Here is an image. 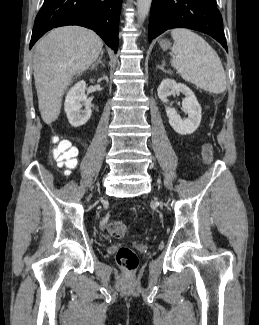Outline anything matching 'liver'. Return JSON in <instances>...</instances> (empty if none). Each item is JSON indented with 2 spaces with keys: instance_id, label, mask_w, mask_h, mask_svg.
I'll list each match as a JSON object with an SVG mask.
<instances>
[{
  "instance_id": "obj_1",
  "label": "liver",
  "mask_w": 259,
  "mask_h": 325,
  "mask_svg": "<svg viewBox=\"0 0 259 325\" xmlns=\"http://www.w3.org/2000/svg\"><path fill=\"white\" fill-rule=\"evenodd\" d=\"M101 38L80 26L59 27L38 41L33 59L41 117L46 124L60 113L62 97L75 75H80L102 52Z\"/></svg>"
}]
</instances>
